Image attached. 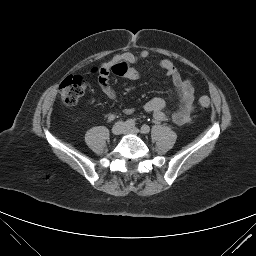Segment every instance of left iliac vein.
I'll return each mask as SVG.
<instances>
[{"mask_svg":"<svg viewBox=\"0 0 256 256\" xmlns=\"http://www.w3.org/2000/svg\"><path fill=\"white\" fill-rule=\"evenodd\" d=\"M124 133L137 135L139 133V129L136 127H126L124 130Z\"/></svg>","mask_w":256,"mask_h":256,"instance_id":"4c4485c4","label":"left iliac vein"}]
</instances>
